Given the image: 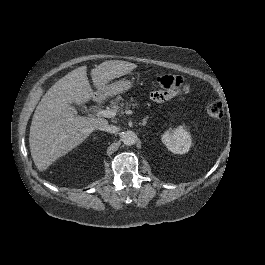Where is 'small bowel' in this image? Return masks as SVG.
I'll return each instance as SVG.
<instances>
[{"mask_svg":"<svg viewBox=\"0 0 265 265\" xmlns=\"http://www.w3.org/2000/svg\"><path fill=\"white\" fill-rule=\"evenodd\" d=\"M181 92L176 90H157L151 93V99L155 102H164L180 95Z\"/></svg>","mask_w":265,"mask_h":265,"instance_id":"1","label":"small bowel"}]
</instances>
